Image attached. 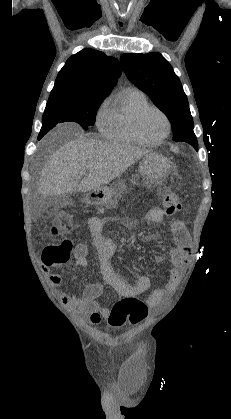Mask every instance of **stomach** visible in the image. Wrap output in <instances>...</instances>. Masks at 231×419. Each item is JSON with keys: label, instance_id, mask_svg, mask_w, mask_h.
Instances as JSON below:
<instances>
[{"label": "stomach", "instance_id": "0dacf381", "mask_svg": "<svg viewBox=\"0 0 231 419\" xmlns=\"http://www.w3.org/2000/svg\"><path fill=\"white\" fill-rule=\"evenodd\" d=\"M169 170L168 159L158 153L146 154L139 163V172L148 188L162 184L169 174ZM125 190L124 186L117 188L104 186L89 193L85 200L92 205H106L112 203Z\"/></svg>", "mask_w": 231, "mask_h": 419}]
</instances>
